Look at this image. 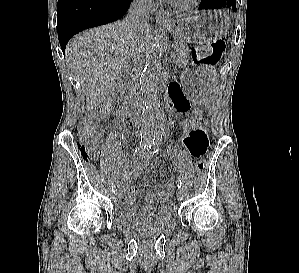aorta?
I'll use <instances>...</instances> for the list:
<instances>
[{
    "mask_svg": "<svg viewBox=\"0 0 299 273\" xmlns=\"http://www.w3.org/2000/svg\"><path fill=\"white\" fill-rule=\"evenodd\" d=\"M161 75V48L159 43L156 42L146 56L145 68L140 78L145 105L140 128L141 138L145 142L158 139L164 132L165 120L159 97Z\"/></svg>",
    "mask_w": 299,
    "mask_h": 273,
    "instance_id": "1",
    "label": "aorta"
}]
</instances>
